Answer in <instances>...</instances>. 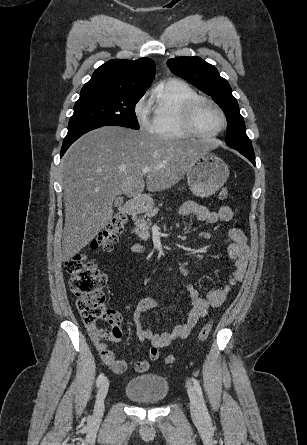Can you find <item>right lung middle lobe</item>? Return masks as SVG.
Instances as JSON below:
<instances>
[{"label": "right lung middle lobe", "instance_id": "1", "mask_svg": "<svg viewBox=\"0 0 307 445\" xmlns=\"http://www.w3.org/2000/svg\"><path fill=\"white\" fill-rule=\"evenodd\" d=\"M141 97L121 95L80 96L70 118L68 133L88 126H123L139 129L135 105Z\"/></svg>", "mask_w": 307, "mask_h": 445}]
</instances>
